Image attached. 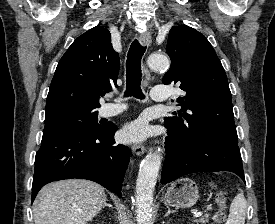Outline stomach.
<instances>
[{
    "instance_id": "stomach-1",
    "label": "stomach",
    "mask_w": 275,
    "mask_h": 224,
    "mask_svg": "<svg viewBox=\"0 0 275 224\" xmlns=\"http://www.w3.org/2000/svg\"><path fill=\"white\" fill-rule=\"evenodd\" d=\"M198 199V187L189 178H181L171 183L164 194L165 204L175 208H190Z\"/></svg>"
}]
</instances>
